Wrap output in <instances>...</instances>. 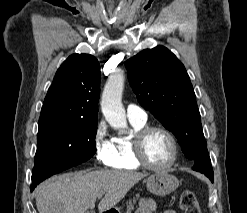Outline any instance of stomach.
<instances>
[{"label": "stomach", "instance_id": "stomach-1", "mask_svg": "<svg viewBox=\"0 0 247 213\" xmlns=\"http://www.w3.org/2000/svg\"><path fill=\"white\" fill-rule=\"evenodd\" d=\"M179 186V180L168 172H156L147 179V189L157 195L166 196L175 191ZM109 213H120L118 209Z\"/></svg>", "mask_w": 247, "mask_h": 213}]
</instances>
